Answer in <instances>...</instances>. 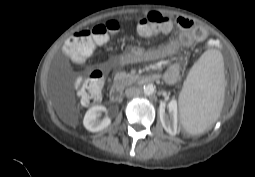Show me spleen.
Segmentation results:
<instances>
[{"instance_id": "3e777b00", "label": "spleen", "mask_w": 255, "mask_h": 177, "mask_svg": "<svg viewBox=\"0 0 255 177\" xmlns=\"http://www.w3.org/2000/svg\"><path fill=\"white\" fill-rule=\"evenodd\" d=\"M224 91L222 54L207 50L194 63L179 95L180 119L188 133H203L217 121Z\"/></svg>"}]
</instances>
